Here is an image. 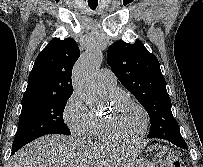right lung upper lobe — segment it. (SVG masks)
I'll return each instance as SVG.
<instances>
[{
  "mask_svg": "<svg viewBox=\"0 0 203 167\" xmlns=\"http://www.w3.org/2000/svg\"><path fill=\"white\" fill-rule=\"evenodd\" d=\"M80 56L72 38L52 39L37 56L22 101L53 96H71L72 68Z\"/></svg>",
  "mask_w": 203,
  "mask_h": 167,
  "instance_id": "cb5924a9",
  "label": "right lung upper lobe"
}]
</instances>
